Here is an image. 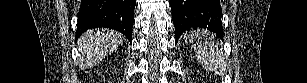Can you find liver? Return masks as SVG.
<instances>
[{
    "instance_id": "6515ba94",
    "label": "liver",
    "mask_w": 307,
    "mask_h": 83,
    "mask_svg": "<svg viewBox=\"0 0 307 83\" xmlns=\"http://www.w3.org/2000/svg\"><path fill=\"white\" fill-rule=\"evenodd\" d=\"M122 42V34L112 30L102 29L85 32L78 41L80 68H92L108 53L116 50Z\"/></svg>"
}]
</instances>
